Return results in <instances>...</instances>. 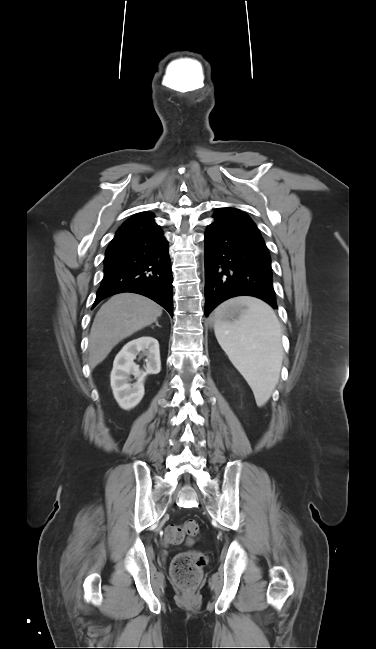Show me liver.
Masks as SVG:
<instances>
[{"mask_svg":"<svg viewBox=\"0 0 376 649\" xmlns=\"http://www.w3.org/2000/svg\"><path fill=\"white\" fill-rule=\"evenodd\" d=\"M162 314L154 301L135 293L111 297L97 312L89 336V363L93 369L123 339L152 324Z\"/></svg>","mask_w":376,"mask_h":649,"instance_id":"obj_1","label":"liver"}]
</instances>
